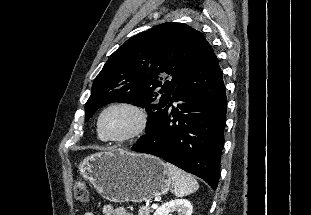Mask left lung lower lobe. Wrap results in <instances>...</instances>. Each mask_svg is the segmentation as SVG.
<instances>
[{"instance_id":"1","label":"left lung lower lobe","mask_w":311,"mask_h":215,"mask_svg":"<svg viewBox=\"0 0 311 215\" xmlns=\"http://www.w3.org/2000/svg\"><path fill=\"white\" fill-rule=\"evenodd\" d=\"M226 105L222 71L205 41L169 102L131 150L158 156L202 178L215 190L224 146Z\"/></svg>"}]
</instances>
